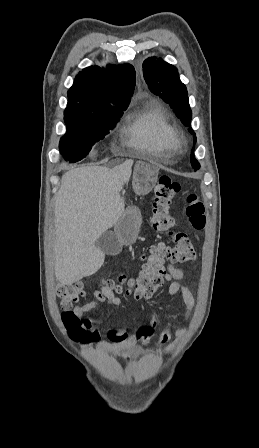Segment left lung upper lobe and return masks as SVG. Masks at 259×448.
I'll use <instances>...</instances> for the list:
<instances>
[{"label":"left lung upper lobe","mask_w":259,"mask_h":448,"mask_svg":"<svg viewBox=\"0 0 259 448\" xmlns=\"http://www.w3.org/2000/svg\"><path fill=\"white\" fill-rule=\"evenodd\" d=\"M143 75L150 90L166 101L183 124L189 126L192 111L186 86L181 82L177 68L160 58L152 57L143 63ZM189 131L195 134L192 128ZM194 142H196L195 136ZM191 164L196 170L200 168L193 153L191 154Z\"/></svg>","instance_id":"obj_1"}]
</instances>
